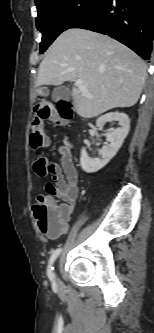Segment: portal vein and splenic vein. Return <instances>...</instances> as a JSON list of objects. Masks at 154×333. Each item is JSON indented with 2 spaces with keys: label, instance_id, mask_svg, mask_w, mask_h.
<instances>
[{
  "label": "portal vein and splenic vein",
  "instance_id": "obj_1",
  "mask_svg": "<svg viewBox=\"0 0 154 333\" xmlns=\"http://www.w3.org/2000/svg\"><path fill=\"white\" fill-rule=\"evenodd\" d=\"M75 85L78 87V89L80 91H82V93H84L86 96H88L89 98H93L92 95H90V93L88 92L87 88L83 85V81L81 79H77L75 81Z\"/></svg>",
  "mask_w": 154,
  "mask_h": 333
}]
</instances>
